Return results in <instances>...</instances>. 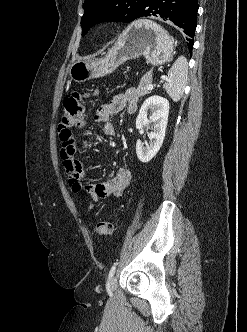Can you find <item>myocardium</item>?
Instances as JSON below:
<instances>
[{
	"label": "myocardium",
	"mask_w": 247,
	"mask_h": 332,
	"mask_svg": "<svg viewBox=\"0 0 247 332\" xmlns=\"http://www.w3.org/2000/svg\"><path fill=\"white\" fill-rule=\"evenodd\" d=\"M109 34H110V30L107 29V28L102 29V30L100 31V33H99L100 37H105V36H107V35H109Z\"/></svg>",
	"instance_id": "f54148a6"
}]
</instances>
